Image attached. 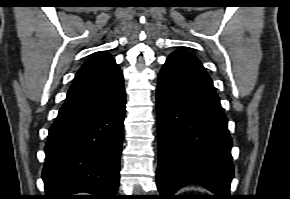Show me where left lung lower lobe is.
<instances>
[{
    "label": "left lung lower lobe",
    "mask_w": 290,
    "mask_h": 199,
    "mask_svg": "<svg viewBox=\"0 0 290 199\" xmlns=\"http://www.w3.org/2000/svg\"><path fill=\"white\" fill-rule=\"evenodd\" d=\"M157 186L172 199L183 186L198 184L229 197L233 178L232 140L213 82L201 62L174 51L158 76Z\"/></svg>",
    "instance_id": "obj_1"
}]
</instances>
